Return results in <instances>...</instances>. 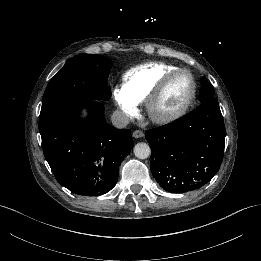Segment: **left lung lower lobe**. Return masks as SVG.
Returning a JSON list of instances; mask_svg holds the SVG:
<instances>
[{"instance_id": "0a47b994", "label": "left lung lower lobe", "mask_w": 261, "mask_h": 261, "mask_svg": "<svg viewBox=\"0 0 261 261\" xmlns=\"http://www.w3.org/2000/svg\"><path fill=\"white\" fill-rule=\"evenodd\" d=\"M225 134L215 98L170 124L146 131L153 151L150 168L159 186L183 193L210 182L223 161Z\"/></svg>"}]
</instances>
